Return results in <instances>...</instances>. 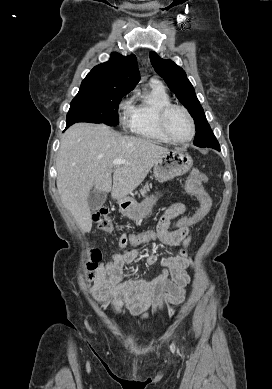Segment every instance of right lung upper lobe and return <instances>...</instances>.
Returning <instances> with one entry per match:
<instances>
[{
    "label": "right lung upper lobe",
    "instance_id": "right-lung-upper-lobe-1",
    "mask_svg": "<svg viewBox=\"0 0 272 389\" xmlns=\"http://www.w3.org/2000/svg\"><path fill=\"white\" fill-rule=\"evenodd\" d=\"M135 55L113 53L108 62L95 66L82 81L83 86L111 88L129 92L139 82Z\"/></svg>",
    "mask_w": 272,
    "mask_h": 389
}]
</instances>
